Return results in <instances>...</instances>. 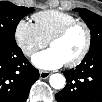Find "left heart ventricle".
Instances as JSON below:
<instances>
[{
	"label": "left heart ventricle",
	"instance_id": "left-heart-ventricle-1",
	"mask_svg": "<svg viewBox=\"0 0 102 102\" xmlns=\"http://www.w3.org/2000/svg\"><path fill=\"white\" fill-rule=\"evenodd\" d=\"M86 42V33L83 27L77 26L64 38L51 44V49L63 59L69 62L74 60L81 53Z\"/></svg>",
	"mask_w": 102,
	"mask_h": 102
}]
</instances>
